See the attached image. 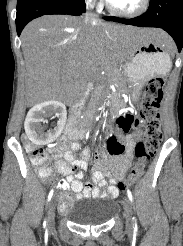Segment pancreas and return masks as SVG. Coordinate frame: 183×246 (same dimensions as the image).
<instances>
[{
    "mask_svg": "<svg viewBox=\"0 0 183 246\" xmlns=\"http://www.w3.org/2000/svg\"><path fill=\"white\" fill-rule=\"evenodd\" d=\"M96 94H97V93H95V94L93 95V97H95V96H96Z\"/></svg>",
    "mask_w": 183,
    "mask_h": 246,
    "instance_id": "cf45deb5",
    "label": "pancreas"
}]
</instances>
